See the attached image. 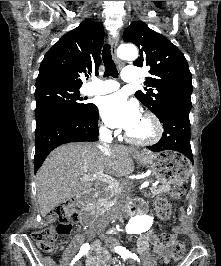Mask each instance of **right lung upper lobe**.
<instances>
[{"label": "right lung upper lobe", "mask_w": 221, "mask_h": 266, "mask_svg": "<svg viewBox=\"0 0 221 266\" xmlns=\"http://www.w3.org/2000/svg\"><path fill=\"white\" fill-rule=\"evenodd\" d=\"M104 40L101 23L86 19L63 35L45 54L41 62L36 88L62 85L82 86V75L98 74L100 52Z\"/></svg>", "instance_id": "cb5924a9"}]
</instances>
